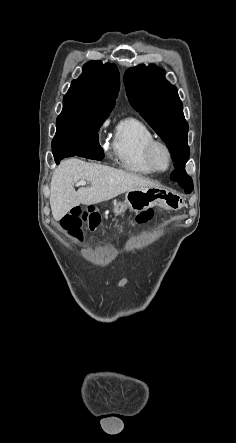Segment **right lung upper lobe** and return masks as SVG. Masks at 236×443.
<instances>
[{
    "instance_id": "right-lung-upper-lobe-1",
    "label": "right lung upper lobe",
    "mask_w": 236,
    "mask_h": 443,
    "mask_svg": "<svg viewBox=\"0 0 236 443\" xmlns=\"http://www.w3.org/2000/svg\"><path fill=\"white\" fill-rule=\"evenodd\" d=\"M120 88L115 64L90 61L81 76L72 81L63 98V110L80 113H108L114 108Z\"/></svg>"
}]
</instances>
